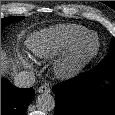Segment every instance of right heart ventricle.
Returning a JSON list of instances; mask_svg holds the SVG:
<instances>
[{
  "label": "right heart ventricle",
  "mask_w": 115,
  "mask_h": 115,
  "mask_svg": "<svg viewBox=\"0 0 115 115\" xmlns=\"http://www.w3.org/2000/svg\"><path fill=\"white\" fill-rule=\"evenodd\" d=\"M87 32V28L82 25L61 24L34 32L26 44L33 57L49 60L68 50Z\"/></svg>",
  "instance_id": "e07e8e85"
}]
</instances>
